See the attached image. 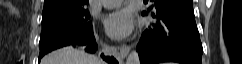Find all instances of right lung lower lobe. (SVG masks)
Segmentation results:
<instances>
[{
    "label": "right lung lower lobe",
    "instance_id": "1",
    "mask_svg": "<svg viewBox=\"0 0 242 64\" xmlns=\"http://www.w3.org/2000/svg\"><path fill=\"white\" fill-rule=\"evenodd\" d=\"M71 46H73V47L82 46L85 48V51L90 52V53H94L97 50V44L95 42L94 36L90 40L83 41L80 43H73V44H71ZM101 57L103 58V60H105L109 64H118L116 59L113 58L112 56H104V54H101ZM39 58L41 59L42 57H39Z\"/></svg>",
    "mask_w": 242,
    "mask_h": 64
}]
</instances>
